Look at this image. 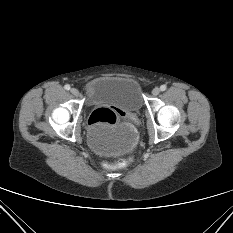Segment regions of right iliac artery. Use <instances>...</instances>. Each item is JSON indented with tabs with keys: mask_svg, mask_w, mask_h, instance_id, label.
Listing matches in <instances>:
<instances>
[{
	"mask_svg": "<svg viewBox=\"0 0 233 233\" xmlns=\"http://www.w3.org/2000/svg\"><path fill=\"white\" fill-rule=\"evenodd\" d=\"M64 88H65L66 90H70V85H69V84H66V85L64 86Z\"/></svg>",
	"mask_w": 233,
	"mask_h": 233,
	"instance_id": "obj_1",
	"label": "right iliac artery"
}]
</instances>
